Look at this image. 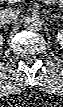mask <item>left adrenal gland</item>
Masks as SVG:
<instances>
[{"instance_id": "1", "label": "left adrenal gland", "mask_w": 63, "mask_h": 107, "mask_svg": "<svg viewBox=\"0 0 63 107\" xmlns=\"http://www.w3.org/2000/svg\"><path fill=\"white\" fill-rule=\"evenodd\" d=\"M51 17H52L53 19H55V18L61 19V18H62L61 15H57V14H52Z\"/></svg>"}]
</instances>
